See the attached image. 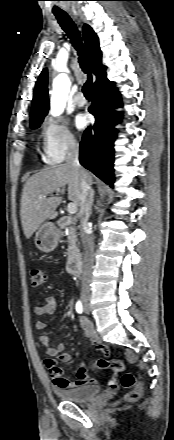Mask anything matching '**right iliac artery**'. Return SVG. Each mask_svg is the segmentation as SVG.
<instances>
[{
	"label": "right iliac artery",
	"instance_id": "1",
	"mask_svg": "<svg viewBox=\"0 0 174 440\" xmlns=\"http://www.w3.org/2000/svg\"><path fill=\"white\" fill-rule=\"evenodd\" d=\"M76 311H77L78 313H80V314L83 312V306H82L81 301H78V302L76 303Z\"/></svg>",
	"mask_w": 174,
	"mask_h": 440
}]
</instances>
